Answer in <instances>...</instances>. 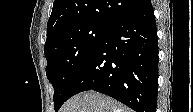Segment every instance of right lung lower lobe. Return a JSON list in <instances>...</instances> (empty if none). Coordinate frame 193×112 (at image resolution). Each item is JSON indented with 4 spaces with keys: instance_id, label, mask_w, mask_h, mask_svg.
I'll return each instance as SVG.
<instances>
[{
    "instance_id": "obj_1",
    "label": "right lung lower lobe",
    "mask_w": 193,
    "mask_h": 112,
    "mask_svg": "<svg viewBox=\"0 0 193 112\" xmlns=\"http://www.w3.org/2000/svg\"><path fill=\"white\" fill-rule=\"evenodd\" d=\"M157 89V28L147 0L108 27L78 72L68 98L94 90L136 112H155Z\"/></svg>"
}]
</instances>
